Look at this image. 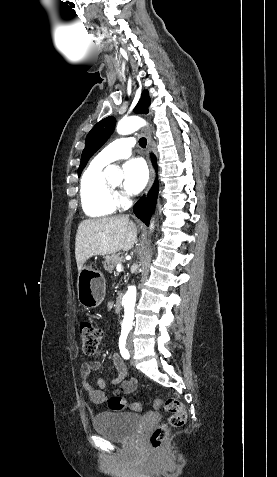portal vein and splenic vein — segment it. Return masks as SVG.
Here are the masks:
<instances>
[{
	"instance_id": "18ae733b",
	"label": "portal vein and splenic vein",
	"mask_w": 277,
	"mask_h": 477,
	"mask_svg": "<svg viewBox=\"0 0 277 477\" xmlns=\"http://www.w3.org/2000/svg\"><path fill=\"white\" fill-rule=\"evenodd\" d=\"M116 269H117V271H122L123 265H122L121 262L117 263Z\"/></svg>"
}]
</instances>
